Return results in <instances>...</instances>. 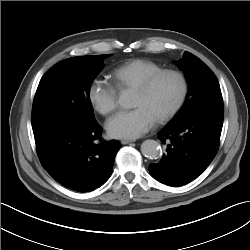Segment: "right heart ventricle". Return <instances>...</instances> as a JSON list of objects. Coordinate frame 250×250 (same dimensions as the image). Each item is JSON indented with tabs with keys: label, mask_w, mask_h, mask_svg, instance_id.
<instances>
[{
	"label": "right heart ventricle",
	"mask_w": 250,
	"mask_h": 250,
	"mask_svg": "<svg viewBox=\"0 0 250 250\" xmlns=\"http://www.w3.org/2000/svg\"><path fill=\"white\" fill-rule=\"evenodd\" d=\"M157 63L145 59H133L112 70L110 78L114 86L123 91L135 89L146 77L161 70Z\"/></svg>",
	"instance_id": "1"
}]
</instances>
